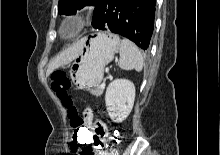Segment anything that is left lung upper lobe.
I'll return each instance as SVG.
<instances>
[{
    "label": "left lung upper lobe",
    "mask_w": 220,
    "mask_h": 155,
    "mask_svg": "<svg viewBox=\"0 0 220 155\" xmlns=\"http://www.w3.org/2000/svg\"><path fill=\"white\" fill-rule=\"evenodd\" d=\"M100 0H59L58 12L59 14L72 15L78 9L88 5H96Z\"/></svg>",
    "instance_id": "obj_1"
}]
</instances>
